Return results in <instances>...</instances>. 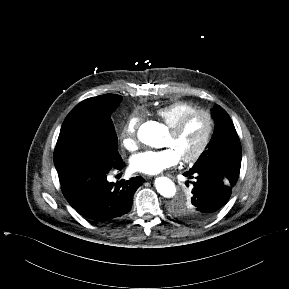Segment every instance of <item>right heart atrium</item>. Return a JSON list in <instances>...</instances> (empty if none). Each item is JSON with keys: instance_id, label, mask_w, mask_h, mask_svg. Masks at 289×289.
<instances>
[{"instance_id": "d8ad5b80", "label": "right heart atrium", "mask_w": 289, "mask_h": 289, "mask_svg": "<svg viewBox=\"0 0 289 289\" xmlns=\"http://www.w3.org/2000/svg\"><path fill=\"white\" fill-rule=\"evenodd\" d=\"M140 122L141 118L137 114H132L122 128L121 144L128 151H135L138 148L136 132Z\"/></svg>"}]
</instances>
